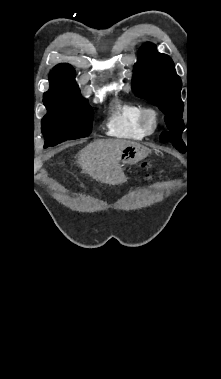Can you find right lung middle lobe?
<instances>
[{
	"label": "right lung middle lobe",
	"mask_w": 221,
	"mask_h": 379,
	"mask_svg": "<svg viewBox=\"0 0 221 379\" xmlns=\"http://www.w3.org/2000/svg\"><path fill=\"white\" fill-rule=\"evenodd\" d=\"M47 115L42 119L45 145L55 146L66 140L89 136L92 109L83 98L77 100H43Z\"/></svg>",
	"instance_id": "1"
}]
</instances>
